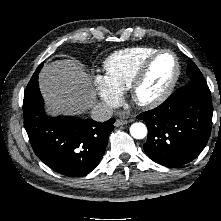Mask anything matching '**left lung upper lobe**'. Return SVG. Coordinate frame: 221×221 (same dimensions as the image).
<instances>
[{"mask_svg":"<svg viewBox=\"0 0 221 221\" xmlns=\"http://www.w3.org/2000/svg\"><path fill=\"white\" fill-rule=\"evenodd\" d=\"M187 75L190 78V83L205 81L202 73L200 72V70L197 68V66L193 63L191 59L188 60Z\"/></svg>","mask_w":221,"mask_h":221,"instance_id":"1","label":"left lung upper lobe"}]
</instances>
